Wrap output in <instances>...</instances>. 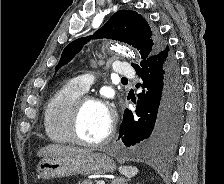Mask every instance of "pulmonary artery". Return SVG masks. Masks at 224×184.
Instances as JSON below:
<instances>
[{
    "label": "pulmonary artery",
    "instance_id": "e3ab8cb5",
    "mask_svg": "<svg viewBox=\"0 0 224 184\" xmlns=\"http://www.w3.org/2000/svg\"><path fill=\"white\" fill-rule=\"evenodd\" d=\"M114 70L121 77H132L135 75L134 69L126 62H120L115 66ZM72 82L77 89L84 93L94 84V78L91 74H82L75 77Z\"/></svg>",
    "mask_w": 224,
    "mask_h": 184
}]
</instances>
